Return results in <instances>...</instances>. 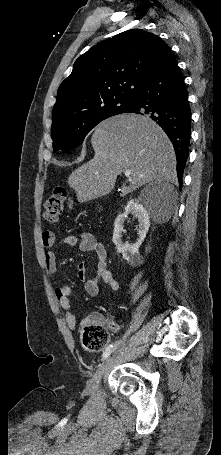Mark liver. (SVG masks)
Listing matches in <instances>:
<instances>
[{
    "label": "liver",
    "mask_w": 221,
    "mask_h": 455,
    "mask_svg": "<svg viewBox=\"0 0 221 455\" xmlns=\"http://www.w3.org/2000/svg\"><path fill=\"white\" fill-rule=\"evenodd\" d=\"M91 144L93 159L68 178L81 203L109 194L125 171H130V184L123 183L122 197L153 180L176 181L173 145L148 117L120 114L106 119L96 127ZM68 206L73 208L71 199Z\"/></svg>",
    "instance_id": "liver-1"
}]
</instances>
